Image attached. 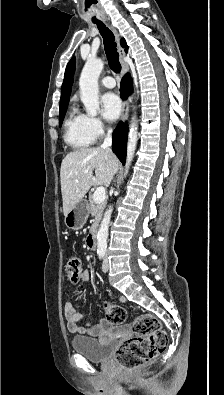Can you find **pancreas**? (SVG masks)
I'll return each instance as SVG.
<instances>
[{
    "label": "pancreas",
    "mask_w": 224,
    "mask_h": 395,
    "mask_svg": "<svg viewBox=\"0 0 224 395\" xmlns=\"http://www.w3.org/2000/svg\"><path fill=\"white\" fill-rule=\"evenodd\" d=\"M107 201L104 200L103 202L97 204L93 200V196L89 195V202L87 204L88 212L94 217V223L91 227V231L99 224L103 211L106 207Z\"/></svg>",
    "instance_id": "1"
}]
</instances>
